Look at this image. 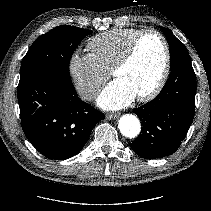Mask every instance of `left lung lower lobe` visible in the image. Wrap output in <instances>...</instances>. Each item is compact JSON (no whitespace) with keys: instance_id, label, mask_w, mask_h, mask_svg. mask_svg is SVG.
Returning a JSON list of instances; mask_svg holds the SVG:
<instances>
[{"instance_id":"left-lung-lower-lobe-1","label":"left lung lower lobe","mask_w":211,"mask_h":211,"mask_svg":"<svg viewBox=\"0 0 211 211\" xmlns=\"http://www.w3.org/2000/svg\"><path fill=\"white\" fill-rule=\"evenodd\" d=\"M170 71L158 96L133 110L142 129L130 146L142 158H160L176 152L193 121L196 75L191 61H183Z\"/></svg>"}]
</instances>
